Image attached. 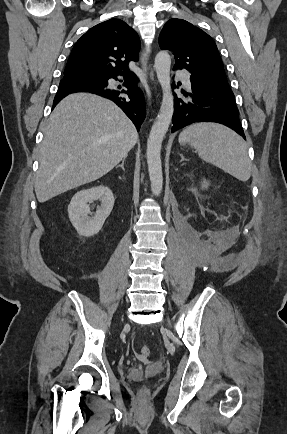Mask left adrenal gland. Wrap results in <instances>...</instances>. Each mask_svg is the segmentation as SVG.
I'll list each match as a JSON object with an SVG mask.
<instances>
[{"instance_id":"obj_1","label":"left adrenal gland","mask_w":287,"mask_h":434,"mask_svg":"<svg viewBox=\"0 0 287 434\" xmlns=\"http://www.w3.org/2000/svg\"><path fill=\"white\" fill-rule=\"evenodd\" d=\"M179 155H180V157H181V161L186 160L185 157H184L182 154H179Z\"/></svg>"}]
</instances>
